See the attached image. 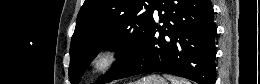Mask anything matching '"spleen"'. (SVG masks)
<instances>
[{"label":"spleen","instance_id":"spleen-1","mask_svg":"<svg viewBox=\"0 0 260 84\" xmlns=\"http://www.w3.org/2000/svg\"><path fill=\"white\" fill-rule=\"evenodd\" d=\"M167 79L171 81V84H190V82L183 78H177L172 75H165Z\"/></svg>","mask_w":260,"mask_h":84}]
</instances>
